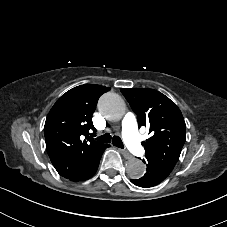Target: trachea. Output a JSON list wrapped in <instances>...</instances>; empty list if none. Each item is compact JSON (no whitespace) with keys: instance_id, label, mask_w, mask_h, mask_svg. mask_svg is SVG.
Masks as SVG:
<instances>
[{"instance_id":"1","label":"trachea","mask_w":227,"mask_h":227,"mask_svg":"<svg viewBox=\"0 0 227 227\" xmlns=\"http://www.w3.org/2000/svg\"><path fill=\"white\" fill-rule=\"evenodd\" d=\"M112 139V143L114 146L119 147V148H124L123 142L120 137L114 136L111 138V135L109 133H106L102 136H99L96 138L97 141L103 142V143H109Z\"/></svg>"}]
</instances>
